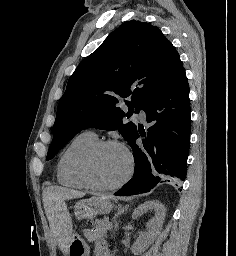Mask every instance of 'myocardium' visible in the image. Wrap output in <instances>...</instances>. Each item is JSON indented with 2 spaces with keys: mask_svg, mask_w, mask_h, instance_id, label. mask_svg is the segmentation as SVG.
Listing matches in <instances>:
<instances>
[{
  "mask_svg": "<svg viewBox=\"0 0 236 256\" xmlns=\"http://www.w3.org/2000/svg\"><path fill=\"white\" fill-rule=\"evenodd\" d=\"M108 147L120 148L127 157V171L123 178L112 186H100L98 185L92 175V164L95 157L100 154L104 149ZM134 172V158L129 148L123 143L116 140L99 141L88 152L82 163V177L87 187L97 193H111L119 190L125 184L129 182Z\"/></svg>",
  "mask_w": 236,
  "mask_h": 256,
  "instance_id": "1",
  "label": "myocardium"
}]
</instances>
